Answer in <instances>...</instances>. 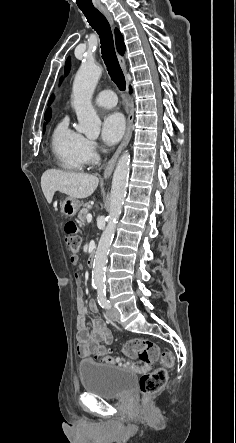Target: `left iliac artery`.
I'll return each mask as SVG.
<instances>
[{
  "label": "left iliac artery",
  "instance_id": "44dca946",
  "mask_svg": "<svg viewBox=\"0 0 236 443\" xmlns=\"http://www.w3.org/2000/svg\"><path fill=\"white\" fill-rule=\"evenodd\" d=\"M97 299H98V303L99 305L104 308V309H109L111 307L109 300H107L106 297V287L104 286H99L97 288Z\"/></svg>",
  "mask_w": 236,
  "mask_h": 443
}]
</instances>
